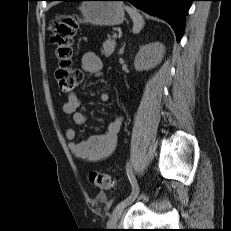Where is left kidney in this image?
I'll return each instance as SVG.
<instances>
[{
  "label": "left kidney",
  "instance_id": "5707ae66",
  "mask_svg": "<svg viewBox=\"0 0 231 231\" xmlns=\"http://www.w3.org/2000/svg\"><path fill=\"white\" fill-rule=\"evenodd\" d=\"M165 46L160 42H152L140 47L134 66L137 71L149 70L157 66L163 59Z\"/></svg>",
  "mask_w": 231,
  "mask_h": 231
}]
</instances>
